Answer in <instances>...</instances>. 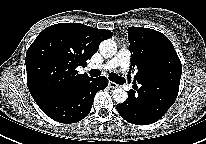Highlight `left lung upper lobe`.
<instances>
[{
	"label": "left lung upper lobe",
	"instance_id": "1",
	"mask_svg": "<svg viewBox=\"0 0 206 144\" xmlns=\"http://www.w3.org/2000/svg\"><path fill=\"white\" fill-rule=\"evenodd\" d=\"M130 71L134 82L144 85L147 94L172 91L178 94L182 65L171 41L162 33L142 27H129Z\"/></svg>",
	"mask_w": 206,
	"mask_h": 144
}]
</instances>
